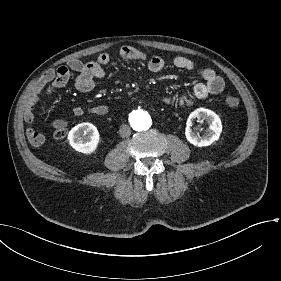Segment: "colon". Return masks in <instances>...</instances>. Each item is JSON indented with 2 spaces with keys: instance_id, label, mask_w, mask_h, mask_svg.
Listing matches in <instances>:
<instances>
[{
  "instance_id": "colon-1",
  "label": "colon",
  "mask_w": 281,
  "mask_h": 281,
  "mask_svg": "<svg viewBox=\"0 0 281 281\" xmlns=\"http://www.w3.org/2000/svg\"><path fill=\"white\" fill-rule=\"evenodd\" d=\"M225 103L229 107H236L239 104L238 98L234 96H228L225 98ZM66 135V127L64 124L60 123L57 125V129L54 133L55 138H62Z\"/></svg>"
}]
</instances>
